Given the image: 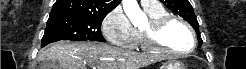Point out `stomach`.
<instances>
[{
	"label": "stomach",
	"mask_w": 246,
	"mask_h": 69,
	"mask_svg": "<svg viewBox=\"0 0 246 69\" xmlns=\"http://www.w3.org/2000/svg\"><path fill=\"white\" fill-rule=\"evenodd\" d=\"M161 69H185V67L178 61H167L161 66Z\"/></svg>",
	"instance_id": "1"
}]
</instances>
